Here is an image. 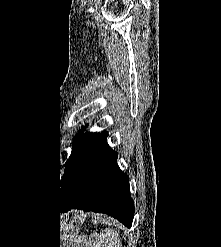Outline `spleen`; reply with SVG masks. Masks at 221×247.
<instances>
[{
	"instance_id": "1",
	"label": "spleen",
	"mask_w": 221,
	"mask_h": 247,
	"mask_svg": "<svg viewBox=\"0 0 221 247\" xmlns=\"http://www.w3.org/2000/svg\"><path fill=\"white\" fill-rule=\"evenodd\" d=\"M88 247H119V232L106 228L103 233L91 235Z\"/></svg>"
}]
</instances>
